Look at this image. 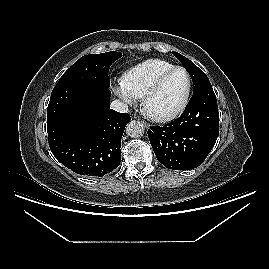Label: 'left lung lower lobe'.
Segmentation results:
<instances>
[{"label": "left lung lower lobe", "instance_id": "1", "mask_svg": "<svg viewBox=\"0 0 269 269\" xmlns=\"http://www.w3.org/2000/svg\"><path fill=\"white\" fill-rule=\"evenodd\" d=\"M148 137L160 163L169 169L198 167L219 134V112L211 85L193 92L182 115L164 127H151Z\"/></svg>", "mask_w": 269, "mask_h": 269}]
</instances>
